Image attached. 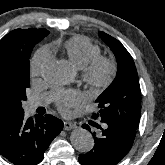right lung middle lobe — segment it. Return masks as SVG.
Segmentation results:
<instances>
[{
    "label": "right lung middle lobe",
    "mask_w": 165,
    "mask_h": 165,
    "mask_svg": "<svg viewBox=\"0 0 165 165\" xmlns=\"http://www.w3.org/2000/svg\"><path fill=\"white\" fill-rule=\"evenodd\" d=\"M45 36L33 35L0 49V108L11 115L24 112L22 102L30 86L29 58L35 44Z\"/></svg>",
    "instance_id": "dd1d6c3e"
}]
</instances>
